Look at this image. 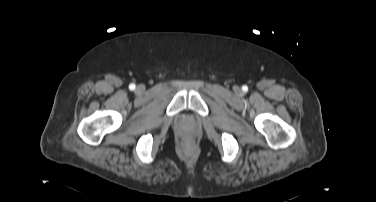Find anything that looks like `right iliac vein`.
<instances>
[{
	"label": "right iliac vein",
	"instance_id": "obj_1",
	"mask_svg": "<svg viewBox=\"0 0 376 202\" xmlns=\"http://www.w3.org/2000/svg\"><path fill=\"white\" fill-rule=\"evenodd\" d=\"M137 90H138V91H142V90H143V87H142V86H138Z\"/></svg>",
	"mask_w": 376,
	"mask_h": 202
}]
</instances>
